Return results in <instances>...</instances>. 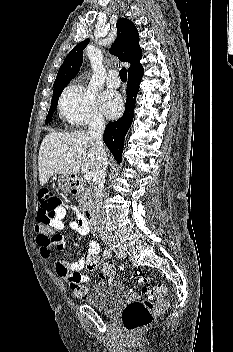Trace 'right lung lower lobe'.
I'll use <instances>...</instances> for the list:
<instances>
[{"label":"right lung lower lobe","instance_id":"98d812e1","mask_svg":"<svg viewBox=\"0 0 233 352\" xmlns=\"http://www.w3.org/2000/svg\"><path fill=\"white\" fill-rule=\"evenodd\" d=\"M142 77L143 72L128 77L127 99L124 114L117 121L109 123L104 131L103 140L118 163L122 161L124 136L133 121L136 95L139 91V83Z\"/></svg>","mask_w":233,"mask_h":352}]
</instances>
